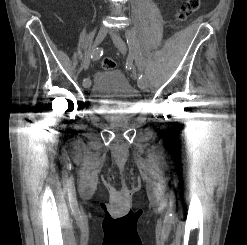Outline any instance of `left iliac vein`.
<instances>
[{
	"instance_id": "1",
	"label": "left iliac vein",
	"mask_w": 247,
	"mask_h": 245,
	"mask_svg": "<svg viewBox=\"0 0 247 245\" xmlns=\"http://www.w3.org/2000/svg\"><path fill=\"white\" fill-rule=\"evenodd\" d=\"M110 35H111V38H112L114 44L118 48V50L122 54L126 55L127 54V46H126L125 42L122 40V38L115 31H111ZM134 74H135V72H134ZM138 85L143 90H147L149 88V85H148L146 79L142 82L138 81Z\"/></svg>"
}]
</instances>
